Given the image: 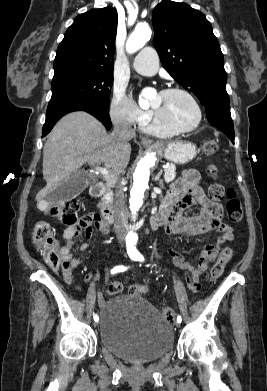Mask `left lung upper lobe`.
Wrapping results in <instances>:
<instances>
[{"instance_id": "1", "label": "left lung upper lobe", "mask_w": 267, "mask_h": 391, "mask_svg": "<svg viewBox=\"0 0 267 391\" xmlns=\"http://www.w3.org/2000/svg\"><path fill=\"white\" fill-rule=\"evenodd\" d=\"M154 46L165 70L207 106L229 102L224 57L203 13L162 1L153 10Z\"/></svg>"}]
</instances>
